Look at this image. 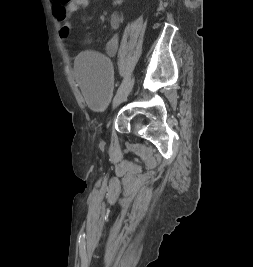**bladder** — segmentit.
<instances>
[{
	"mask_svg": "<svg viewBox=\"0 0 253 267\" xmlns=\"http://www.w3.org/2000/svg\"><path fill=\"white\" fill-rule=\"evenodd\" d=\"M74 77L89 107L104 112L113 91L109 59L96 51L81 52L74 63Z\"/></svg>",
	"mask_w": 253,
	"mask_h": 267,
	"instance_id": "bladder-1",
	"label": "bladder"
}]
</instances>
